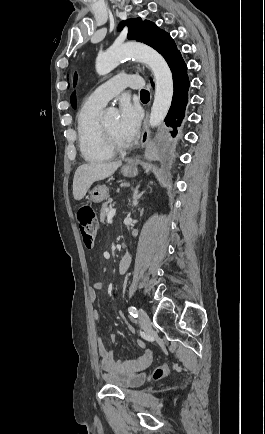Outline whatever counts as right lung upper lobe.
<instances>
[{
    "label": "right lung upper lobe",
    "instance_id": "right-lung-upper-lobe-1",
    "mask_svg": "<svg viewBox=\"0 0 265 434\" xmlns=\"http://www.w3.org/2000/svg\"><path fill=\"white\" fill-rule=\"evenodd\" d=\"M76 80H77V75L75 74V76H74V85L76 84ZM70 101H71V105H72V107L75 108V107H76V97H75V93H73V94L71 95V99H70Z\"/></svg>",
    "mask_w": 265,
    "mask_h": 434
}]
</instances>
